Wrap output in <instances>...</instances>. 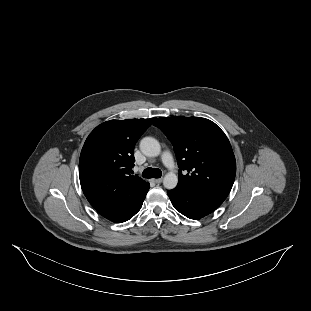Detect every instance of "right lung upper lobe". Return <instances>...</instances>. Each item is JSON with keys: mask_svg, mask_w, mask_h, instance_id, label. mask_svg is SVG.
Segmentation results:
<instances>
[{"mask_svg": "<svg viewBox=\"0 0 311 311\" xmlns=\"http://www.w3.org/2000/svg\"><path fill=\"white\" fill-rule=\"evenodd\" d=\"M155 118L110 120L87 137L79 160V178L89 203L105 218L120 223L150 185L130 173L134 147Z\"/></svg>", "mask_w": 311, "mask_h": 311, "instance_id": "cb5924a9", "label": "right lung upper lobe"}]
</instances>
